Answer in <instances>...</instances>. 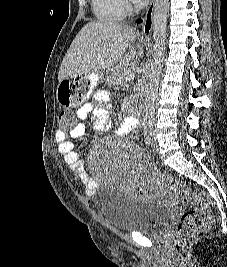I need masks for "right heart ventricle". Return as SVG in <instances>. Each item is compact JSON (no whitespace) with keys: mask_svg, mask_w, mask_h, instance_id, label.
<instances>
[{"mask_svg":"<svg viewBox=\"0 0 227 267\" xmlns=\"http://www.w3.org/2000/svg\"><path fill=\"white\" fill-rule=\"evenodd\" d=\"M92 8L101 22H118L124 17L121 0H92Z\"/></svg>","mask_w":227,"mask_h":267,"instance_id":"e07e8e85","label":"right heart ventricle"}]
</instances>
